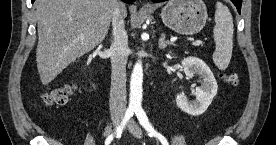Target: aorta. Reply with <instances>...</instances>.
I'll list each match as a JSON object with an SVG mask.
<instances>
[{
    "mask_svg": "<svg viewBox=\"0 0 276 145\" xmlns=\"http://www.w3.org/2000/svg\"><path fill=\"white\" fill-rule=\"evenodd\" d=\"M145 35H143L144 37ZM142 83H143V66L141 60L136 62L130 81V101L129 105L137 107L142 102Z\"/></svg>",
    "mask_w": 276,
    "mask_h": 145,
    "instance_id": "762f6f07",
    "label": "aorta"
}]
</instances>
